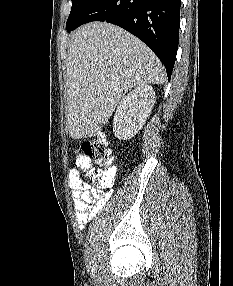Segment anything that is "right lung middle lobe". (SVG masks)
I'll return each instance as SVG.
<instances>
[{
    "mask_svg": "<svg viewBox=\"0 0 233 286\" xmlns=\"http://www.w3.org/2000/svg\"><path fill=\"white\" fill-rule=\"evenodd\" d=\"M90 0H72V8L67 20L66 29L70 28L79 18Z\"/></svg>",
    "mask_w": 233,
    "mask_h": 286,
    "instance_id": "1",
    "label": "right lung middle lobe"
}]
</instances>
